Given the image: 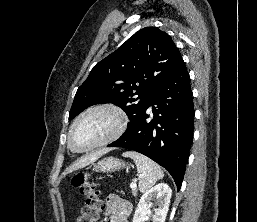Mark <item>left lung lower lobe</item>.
<instances>
[{
	"mask_svg": "<svg viewBox=\"0 0 257 222\" xmlns=\"http://www.w3.org/2000/svg\"><path fill=\"white\" fill-rule=\"evenodd\" d=\"M152 120L147 109L152 106ZM194 130L190 77L184 61L157 87L135 122L108 147L139 152L164 167L178 191L185 174Z\"/></svg>",
	"mask_w": 257,
	"mask_h": 222,
	"instance_id": "obj_1",
	"label": "left lung lower lobe"
}]
</instances>
